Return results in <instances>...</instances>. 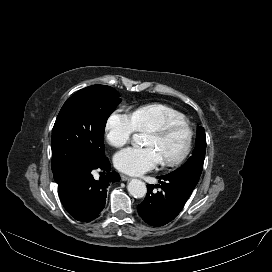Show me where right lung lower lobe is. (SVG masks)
Returning <instances> with one entry per match:
<instances>
[{
  "label": "right lung lower lobe",
  "instance_id": "1",
  "mask_svg": "<svg viewBox=\"0 0 272 272\" xmlns=\"http://www.w3.org/2000/svg\"><path fill=\"white\" fill-rule=\"evenodd\" d=\"M94 169L106 171V175L95 180L91 173ZM119 180L118 173L110 172L109 160L105 158L100 163L77 169L57 182L59 197L72 217L90 222L99 217L105 207L109 184Z\"/></svg>",
  "mask_w": 272,
  "mask_h": 272
}]
</instances>
